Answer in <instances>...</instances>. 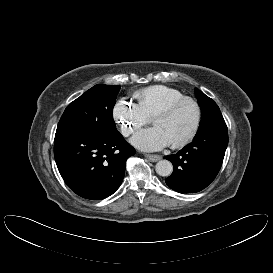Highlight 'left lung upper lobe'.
Masks as SVG:
<instances>
[{"instance_id": "obj_1", "label": "left lung upper lobe", "mask_w": 273, "mask_h": 273, "mask_svg": "<svg viewBox=\"0 0 273 273\" xmlns=\"http://www.w3.org/2000/svg\"><path fill=\"white\" fill-rule=\"evenodd\" d=\"M202 117L197 134L217 130H227L226 123L217 104L202 91L196 89Z\"/></svg>"}]
</instances>
